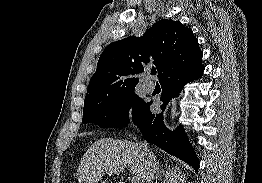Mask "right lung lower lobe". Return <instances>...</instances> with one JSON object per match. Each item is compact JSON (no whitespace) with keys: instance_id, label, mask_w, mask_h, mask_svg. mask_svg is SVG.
I'll use <instances>...</instances> for the list:
<instances>
[{"instance_id":"98d812e1","label":"right lung lower lobe","mask_w":262,"mask_h":183,"mask_svg":"<svg viewBox=\"0 0 262 183\" xmlns=\"http://www.w3.org/2000/svg\"><path fill=\"white\" fill-rule=\"evenodd\" d=\"M203 71L204 66L201 63L189 70L169 76L160 82L162 86L160 101L163 102L161 109L165 110L168 102L178 96L184 85L194 79L200 78ZM150 104L151 102L147 103L140 111L139 115L133 120L134 124L141 130L147 142L178 157L197 171L199 169V160L183 128L179 126L174 132H170L163 123V113L153 114L149 108Z\"/></svg>"}]
</instances>
